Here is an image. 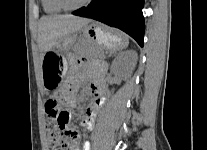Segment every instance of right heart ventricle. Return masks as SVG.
Returning <instances> with one entry per match:
<instances>
[{
    "instance_id": "e07e8e85",
    "label": "right heart ventricle",
    "mask_w": 207,
    "mask_h": 150,
    "mask_svg": "<svg viewBox=\"0 0 207 150\" xmlns=\"http://www.w3.org/2000/svg\"><path fill=\"white\" fill-rule=\"evenodd\" d=\"M43 10L50 15H55L61 13L60 9L53 0H42Z\"/></svg>"
}]
</instances>
